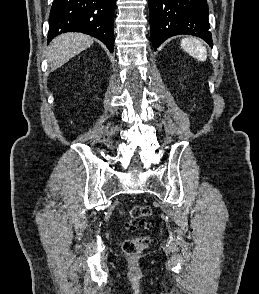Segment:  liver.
I'll list each match as a JSON object with an SVG mask.
<instances>
[{
	"label": "liver",
	"mask_w": 259,
	"mask_h": 294,
	"mask_svg": "<svg viewBox=\"0 0 259 294\" xmlns=\"http://www.w3.org/2000/svg\"><path fill=\"white\" fill-rule=\"evenodd\" d=\"M93 44V38L82 33H65L57 36L49 45L48 61L56 70Z\"/></svg>",
	"instance_id": "obj_1"
}]
</instances>
